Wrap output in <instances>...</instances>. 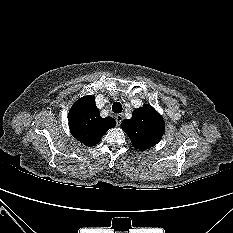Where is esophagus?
<instances>
[{"instance_id": "1", "label": "esophagus", "mask_w": 233, "mask_h": 233, "mask_svg": "<svg viewBox=\"0 0 233 233\" xmlns=\"http://www.w3.org/2000/svg\"><path fill=\"white\" fill-rule=\"evenodd\" d=\"M122 120H123V117H122L121 114H119V115L116 116V124H117V126H119L121 124Z\"/></svg>"}]
</instances>
